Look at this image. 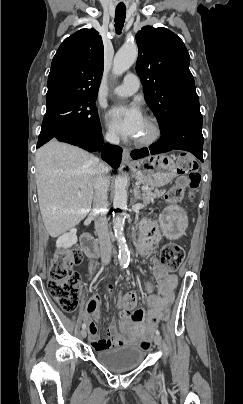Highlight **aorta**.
I'll use <instances>...</instances> for the list:
<instances>
[{
  "label": "aorta",
  "instance_id": "1",
  "mask_svg": "<svg viewBox=\"0 0 243 404\" xmlns=\"http://www.w3.org/2000/svg\"><path fill=\"white\" fill-rule=\"evenodd\" d=\"M138 58V48L136 44H123L118 50L114 62L112 72L115 76H121L127 72ZM129 178L128 168L119 166L117 168L115 184H114V200H113V230L114 236L119 246V262L124 268L129 262V252L124 238L125 219L127 217V192L126 186Z\"/></svg>",
  "mask_w": 243,
  "mask_h": 404
}]
</instances>
